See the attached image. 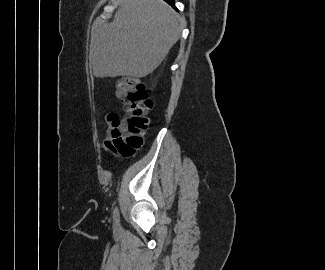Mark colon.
<instances>
[{
  "label": "colon",
  "instance_id": "1",
  "mask_svg": "<svg viewBox=\"0 0 325 270\" xmlns=\"http://www.w3.org/2000/svg\"><path fill=\"white\" fill-rule=\"evenodd\" d=\"M116 95L121 101L124 116L116 122L110 136L117 150L129 157L143 145L153 102L145 85L133 77H123L117 81Z\"/></svg>",
  "mask_w": 325,
  "mask_h": 270
}]
</instances>
